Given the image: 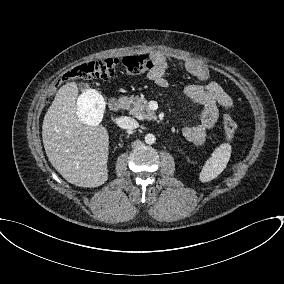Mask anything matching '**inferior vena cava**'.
Masks as SVG:
<instances>
[{"label":"inferior vena cava","instance_id":"1","mask_svg":"<svg viewBox=\"0 0 284 284\" xmlns=\"http://www.w3.org/2000/svg\"><path fill=\"white\" fill-rule=\"evenodd\" d=\"M118 125L123 129L129 130H133L139 127V124L135 119L126 116H122L119 118Z\"/></svg>","mask_w":284,"mask_h":284}]
</instances>
